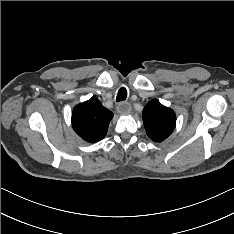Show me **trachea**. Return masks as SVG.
Listing matches in <instances>:
<instances>
[{
	"instance_id": "trachea-1",
	"label": "trachea",
	"mask_w": 234,
	"mask_h": 234,
	"mask_svg": "<svg viewBox=\"0 0 234 234\" xmlns=\"http://www.w3.org/2000/svg\"><path fill=\"white\" fill-rule=\"evenodd\" d=\"M127 98V91L124 87H121L118 91L116 101L121 102L124 101Z\"/></svg>"
}]
</instances>
